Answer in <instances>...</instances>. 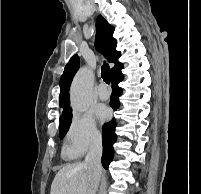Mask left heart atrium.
<instances>
[{
  "label": "left heart atrium",
  "instance_id": "obj_1",
  "mask_svg": "<svg viewBox=\"0 0 201 194\" xmlns=\"http://www.w3.org/2000/svg\"><path fill=\"white\" fill-rule=\"evenodd\" d=\"M96 114L100 121H105L109 117V110L105 106H101L97 109Z\"/></svg>",
  "mask_w": 201,
  "mask_h": 194
}]
</instances>
